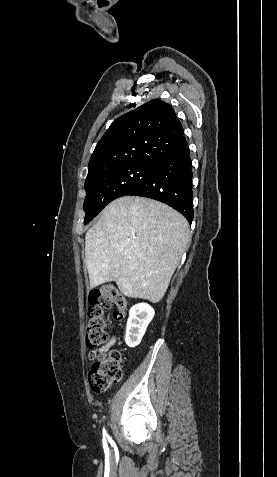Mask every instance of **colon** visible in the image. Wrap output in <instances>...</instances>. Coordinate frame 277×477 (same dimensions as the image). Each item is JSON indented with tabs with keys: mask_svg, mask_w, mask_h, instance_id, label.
<instances>
[{
	"mask_svg": "<svg viewBox=\"0 0 277 477\" xmlns=\"http://www.w3.org/2000/svg\"><path fill=\"white\" fill-rule=\"evenodd\" d=\"M88 301L86 342L88 347L95 348L104 344L108 339L104 310L115 307L114 318L122 319L127 308V301L124 295L111 284L90 292ZM122 363V353L118 349L111 350L104 357L95 360L88 374L92 392L101 394L120 381Z\"/></svg>",
	"mask_w": 277,
	"mask_h": 477,
	"instance_id": "colon-1",
	"label": "colon"
}]
</instances>
